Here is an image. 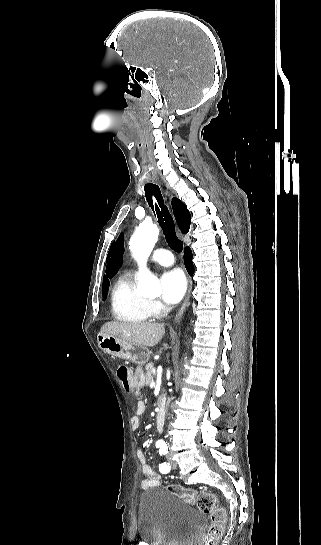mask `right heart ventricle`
I'll list each match as a JSON object with an SVG mask.
<instances>
[{"instance_id": "obj_1", "label": "right heart ventricle", "mask_w": 321, "mask_h": 545, "mask_svg": "<svg viewBox=\"0 0 321 545\" xmlns=\"http://www.w3.org/2000/svg\"><path fill=\"white\" fill-rule=\"evenodd\" d=\"M110 309L112 317L124 324H142L154 318L148 304L137 297L132 278L125 272L116 278L110 295Z\"/></svg>"}]
</instances>
